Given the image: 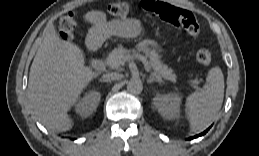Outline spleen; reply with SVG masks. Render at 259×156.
<instances>
[{
    "instance_id": "3e777b00",
    "label": "spleen",
    "mask_w": 259,
    "mask_h": 156,
    "mask_svg": "<svg viewBox=\"0 0 259 156\" xmlns=\"http://www.w3.org/2000/svg\"><path fill=\"white\" fill-rule=\"evenodd\" d=\"M224 76L219 67L209 70L206 84L186 98L185 114L192 131L207 127L218 115L224 98Z\"/></svg>"
}]
</instances>
